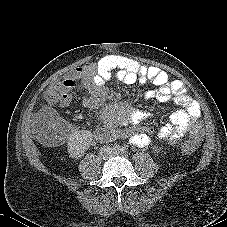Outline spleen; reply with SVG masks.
Listing matches in <instances>:
<instances>
[{
	"label": "spleen",
	"mask_w": 227,
	"mask_h": 227,
	"mask_svg": "<svg viewBox=\"0 0 227 227\" xmlns=\"http://www.w3.org/2000/svg\"><path fill=\"white\" fill-rule=\"evenodd\" d=\"M188 133L191 139L197 141L203 138L205 132L202 126L196 124L190 127Z\"/></svg>",
	"instance_id": "3e777b00"
}]
</instances>
